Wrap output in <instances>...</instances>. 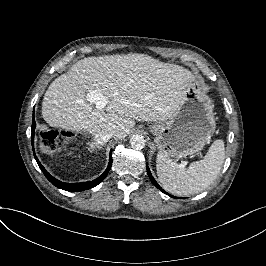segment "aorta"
<instances>
[{
  "instance_id": "obj_1",
  "label": "aorta",
  "mask_w": 266,
  "mask_h": 266,
  "mask_svg": "<svg viewBox=\"0 0 266 266\" xmlns=\"http://www.w3.org/2000/svg\"><path fill=\"white\" fill-rule=\"evenodd\" d=\"M146 141L143 136L141 135H133L130 138V145L132 148L141 150L145 147Z\"/></svg>"
}]
</instances>
